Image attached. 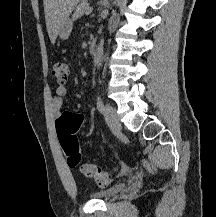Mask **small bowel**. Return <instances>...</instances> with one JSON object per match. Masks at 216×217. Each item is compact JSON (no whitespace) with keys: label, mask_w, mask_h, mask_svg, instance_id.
Listing matches in <instances>:
<instances>
[{"label":"small bowel","mask_w":216,"mask_h":217,"mask_svg":"<svg viewBox=\"0 0 216 217\" xmlns=\"http://www.w3.org/2000/svg\"><path fill=\"white\" fill-rule=\"evenodd\" d=\"M67 94V88L64 86H59L56 89L55 95L52 97L51 106H52V113L57 124L58 120L64 114L63 111V98Z\"/></svg>","instance_id":"small-bowel-1"}]
</instances>
